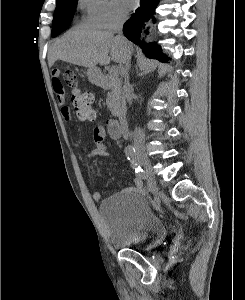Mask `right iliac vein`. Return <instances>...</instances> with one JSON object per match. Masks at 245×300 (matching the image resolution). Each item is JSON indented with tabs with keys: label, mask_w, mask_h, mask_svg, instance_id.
<instances>
[{
	"label": "right iliac vein",
	"mask_w": 245,
	"mask_h": 300,
	"mask_svg": "<svg viewBox=\"0 0 245 300\" xmlns=\"http://www.w3.org/2000/svg\"><path fill=\"white\" fill-rule=\"evenodd\" d=\"M137 160L144 166L146 171V177H151V182H153V186H156V180L153 173L152 165L147 154L144 151L139 150L137 152Z\"/></svg>",
	"instance_id": "63e3f726"
}]
</instances>
